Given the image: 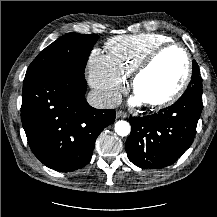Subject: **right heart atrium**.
<instances>
[{"instance_id":"obj_1","label":"right heart atrium","mask_w":217,"mask_h":217,"mask_svg":"<svg viewBox=\"0 0 217 217\" xmlns=\"http://www.w3.org/2000/svg\"><path fill=\"white\" fill-rule=\"evenodd\" d=\"M88 80L105 105L115 103L125 86L124 79L110 66L108 58L99 49H94L88 60Z\"/></svg>"}]
</instances>
